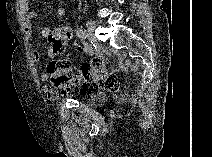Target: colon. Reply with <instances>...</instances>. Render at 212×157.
I'll return each mask as SVG.
<instances>
[{"label":"colon","instance_id":"5ec220e1","mask_svg":"<svg viewBox=\"0 0 212 157\" xmlns=\"http://www.w3.org/2000/svg\"><path fill=\"white\" fill-rule=\"evenodd\" d=\"M72 31L69 27H59L50 34L53 42V53L60 54L71 41ZM51 75L54 87L61 89L63 93L80 92L87 94L97 88H104L107 91H115L118 81L114 74L108 72L102 63L94 68H81L75 72L68 59H54L47 67Z\"/></svg>","mask_w":212,"mask_h":157}]
</instances>
